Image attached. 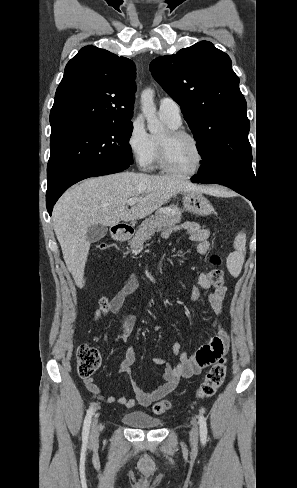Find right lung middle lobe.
I'll return each mask as SVG.
<instances>
[{"label":"right lung middle lobe","instance_id":"dd1d6c3e","mask_svg":"<svg viewBox=\"0 0 297 488\" xmlns=\"http://www.w3.org/2000/svg\"><path fill=\"white\" fill-rule=\"evenodd\" d=\"M132 122L82 125L50 136L47 193L74 175L107 165H131Z\"/></svg>","mask_w":297,"mask_h":488}]
</instances>
